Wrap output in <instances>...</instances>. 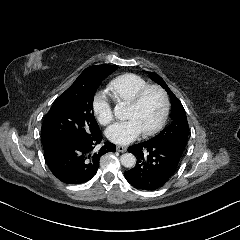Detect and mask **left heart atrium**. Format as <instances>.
<instances>
[{
    "label": "left heart atrium",
    "instance_id": "1",
    "mask_svg": "<svg viewBox=\"0 0 240 240\" xmlns=\"http://www.w3.org/2000/svg\"><path fill=\"white\" fill-rule=\"evenodd\" d=\"M142 130L134 120L118 123L107 130V138L118 145H126L135 140Z\"/></svg>",
    "mask_w": 240,
    "mask_h": 240
}]
</instances>
